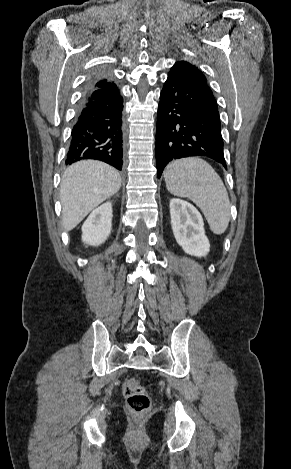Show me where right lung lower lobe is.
I'll use <instances>...</instances> for the list:
<instances>
[{
    "label": "right lung lower lobe",
    "mask_w": 291,
    "mask_h": 469,
    "mask_svg": "<svg viewBox=\"0 0 291 469\" xmlns=\"http://www.w3.org/2000/svg\"><path fill=\"white\" fill-rule=\"evenodd\" d=\"M89 80L72 129L66 165L80 160L104 161L118 170L123 165V98L115 86L94 88Z\"/></svg>",
    "instance_id": "1"
}]
</instances>
